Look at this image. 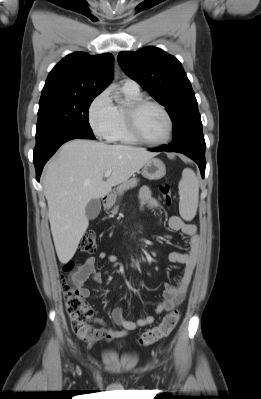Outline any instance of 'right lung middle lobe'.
I'll use <instances>...</instances> for the list:
<instances>
[{
	"instance_id": "1",
	"label": "right lung middle lobe",
	"mask_w": 261,
	"mask_h": 399,
	"mask_svg": "<svg viewBox=\"0 0 261 399\" xmlns=\"http://www.w3.org/2000/svg\"><path fill=\"white\" fill-rule=\"evenodd\" d=\"M96 96H42L39 102L36 136L58 127H71L92 133L88 109Z\"/></svg>"
}]
</instances>
